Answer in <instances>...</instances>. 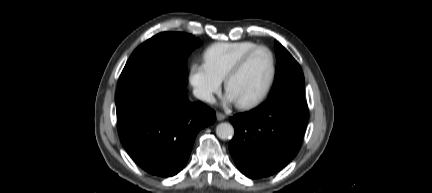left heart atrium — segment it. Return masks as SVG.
Masks as SVG:
<instances>
[{
  "label": "left heart atrium",
  "mask_w": 432,
  "mask_h": 193,
  "mask_svg": "<svg viewBox=\"0 0 432 193\" xmlns=\"http://www.w3.org/2000/svg\"><path fill=\"white\" fill-rule=\"evenodd\" d=\"M226 101L229 102V103H232V102H234L235 100H234V98H233V97L228 93L227 96H226Z\"/></svg>",
  "instance_id": "left-heart-atrium-1"
}]
</instances>
